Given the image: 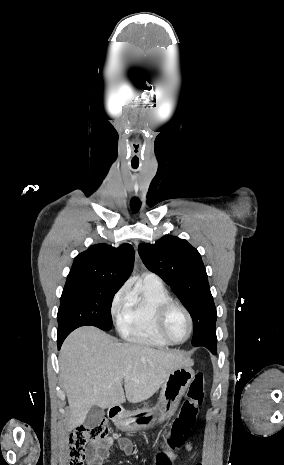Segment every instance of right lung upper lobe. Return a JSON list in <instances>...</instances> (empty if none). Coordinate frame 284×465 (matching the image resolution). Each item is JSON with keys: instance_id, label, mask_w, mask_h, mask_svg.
Here are the masks:
<instances>
[{"instance_id": "obj_1", "label": "right lung upper lobe", "mask_w": 284, "mask_h": 465, "mask_svg": "<svg viewBox=\"0 0 284 465\" xmlns=\"http://www.w3.org/2000/svg\"><path fill=\"white\" fill-rule=\"evenodd\" d=\"M134 249L130 244L114 248L107 244L91 246L78 254L67 280H87L120 288L131 274Z\"/></svg>"}]
</instances>
